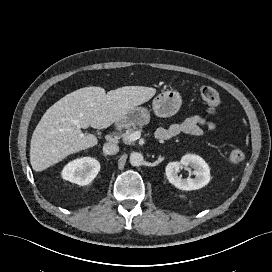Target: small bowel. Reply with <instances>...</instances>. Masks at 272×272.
<instances>
[{
    "label": "small bowel",
    "instance_id": "obj_1",
    "mask_svg": "<svg viewBox=\"0 0 272 272\" xmlns=\"http://www.w3.org/2000/svg\"><path fill=\"white\" fill-rule=\"evenodd\" d=\"M216 129V123L200 115H194L186 118L180 123H174L167 128H158L155 136L159 140L171 139L180 133L192 136H200L204 130L213 131Z\"/></svg>",
    "mask_w": 272,
    "mask_h": 272
}]
</instances>
